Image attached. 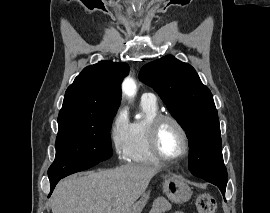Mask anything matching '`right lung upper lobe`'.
I'll list each match as a JSON object with an SVG mask.
<instances>
[{
  "instance_id": "right-lung-upper-lobe-1",
  "label": "right lung upper lobe",
  "mask_w": 270,
  "mask_h": 213,
  "mask_svg": "<svg viewBox=\"0 0 270 213\" xmlns=\"http://www.w3.org/2000/svg\"><path fill=\"white\" fill-rule=\"evenodd\" d=\"M128 71L126 63L112 61L84 68L66 90L59 116L116 113L121 100V81Z\"/></svg>"
}]
</instances>
